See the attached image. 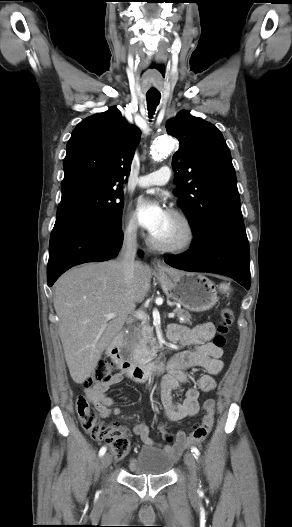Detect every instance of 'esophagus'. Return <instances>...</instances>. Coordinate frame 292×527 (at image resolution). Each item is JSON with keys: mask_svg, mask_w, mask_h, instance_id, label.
<instances>
[{"mask_svg": "<svg viewBox=\"0 0 292 527\" xmlns=\"http://www.w3.org/2000/svg\"><path fill=\"white\" fill-rule=\"evenodd\" d=\"M153 265H154L155 269L158 270V271H162V270L165 269V266L161 263L160 260H154Z\"/></svg>", "mask_w": 292, "mask_h": 527, "instance_id": "34e87169", "label": "esophagus"}]
</instances>
